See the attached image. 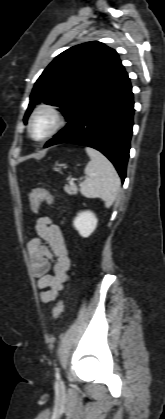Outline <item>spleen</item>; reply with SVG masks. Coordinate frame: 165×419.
<instances>
[{
	"label": "spleen",
	"mask_w": 165,
	"mask_h": 419,
	"mask_svg": "<svg viewBox=\"0 0 165 419\" xmlns=\"http://www.w3.org/2000/svg\"><path fill=\"white\" fill-rule=\"evenodd\" d=\"M90 162L85 168L86 180L81 184V193L88 198H100L109 208L120 189V178L112 163L99 151L86 147Z\"/></svg>",
	"instance_id": "spleen-1"
}]
</instances>
